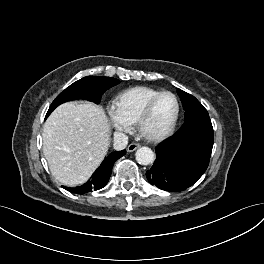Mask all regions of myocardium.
<instances>
[{"label":"myocardium","instance_id":"1","mask_svg":"<svg viewBox=\"0 0 264 264\" xmlns=\"http://www.w3.org/2000/svg\"><path fill=\"white\" fill-rule=\"evenodd\" d=\"M164 95H170L175 100L176 111H175L174 117H173L171 123L169 124V126L164 131H162L158 134H148L144 130L145 124H146L147 120L149 119L156 102ZM179 114H180V103H179L177 96L170 91H162V92L158 93L157 95H155L154 97H152L148 101L146 106L144 107L143 111L141 112V114H140V116L136 122L138 132L147 141L161 142V141L165 140L166 138H168L173 133V131L177 125V122H178Z\"/></svg>","mask_w":264,"mask_h":264}]
</instances>
